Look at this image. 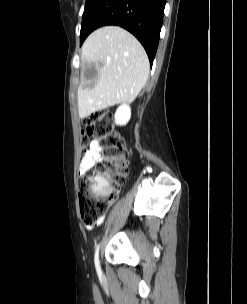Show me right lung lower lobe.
<instances>
[{
	"label": "right lung lower lobe",
	"mask_w": 247,
	"mask_h": 304,
	"mask_svg": "<svg viewBox=\"0 0 247 304\" xmlns=\"http://www.w3.org/2000/svg\"><path fill=\"white\" fill-rule=\"evenodd\" d=\"M166 0H99L83 18L80 44L95 29L118 25L144 46L152 65L159 43Z\"/></svg>",
	"instance_id": "right-lung-lower-lobe-1"
}]
</instances>
